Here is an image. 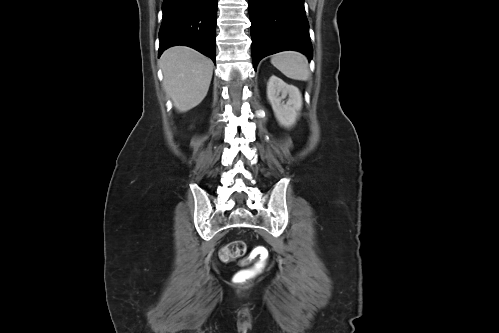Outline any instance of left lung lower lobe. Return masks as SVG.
Instances as JSON below:
<instances>
[{
    "label": "left lung lower lobe",
    "instance_id": "obj_1",
    "mask_svg": "<svg viewBox=\"0 0 499 333\" xmlns=\"http://www.w3.org/2000/svg\"><path fill=\"white\" fill-rule=\"evenodd\" d=\"M249 16L255 69L265 56L284 50L312 58L304 0H249Z\"/></svg>",
    "mask_w": 499,
    "mask_h": 333
}]
</instances>
